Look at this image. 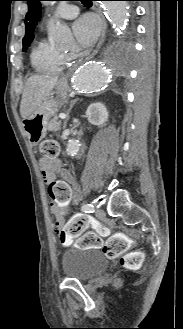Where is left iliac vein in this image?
<instances>
[{"instance_id": "left-iliac-vein-1", "label": "left iliac vein", "mask_w": 183, "mask_h": 329, "mask_svg": "<svg viewBox=\"0 0 183 329\" xmlns=\"http://www.w3.org/2000/svg\"><path fill=\"white\" fill-rule=\"evenodd\" d=\"M95 215L98 219H103L105 217V212L102 209H97Z\"/></svg>"}]
</instances>
